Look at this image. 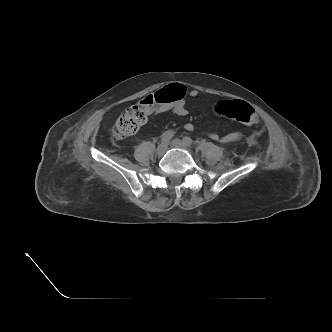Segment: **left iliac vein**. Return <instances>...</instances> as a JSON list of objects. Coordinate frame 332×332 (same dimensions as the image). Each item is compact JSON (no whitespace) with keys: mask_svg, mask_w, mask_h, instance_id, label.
I'll list each match as a JSON object with an SVG mask.
<instances>
[{"mask_svg":"<svg viewBox=\"0 0 332 332\" xmlns=\"http://www.w3.org/2000/svg\"><path fill=\"white\" fill-rule=\"evenodd\" d=\"M171 145L175 148H180V149H185V150H187L189 148L187 144H185L183 141H181L179 139H173L171 141Z\"/></svg>","mask_w":332,"mask_h":332,"instance_id":"obj_1","label":"left iliac vein"}]
</instances>
